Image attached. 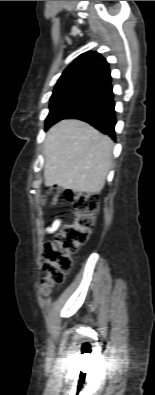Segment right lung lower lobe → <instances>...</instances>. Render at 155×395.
<instances>
[{"label":"right lung lower lobe","instance_id":"98d812e1","mask_svg":"<svg viewBox=\"0 0 155 395\" xmlns=\"http://www.w3.org/2000/svg\"><path fill=\"white\" fill-rule=\"evenodd\" d=\"M114 107L112 86L109 84L92 102L66 118L85 121L115 139L116 118Z\"/></svg>","mask_w":155,"mask_h":395}]
</instances>
